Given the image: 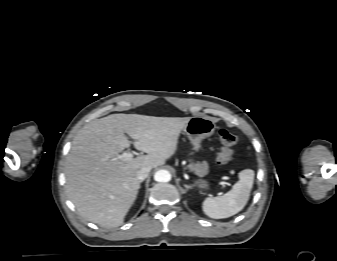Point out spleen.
<instances>
[{
  "mask_svg": "<svg viewBox=\"0 0 337 261\" xmlns=\"http://www.w3.org/2000/svg\"><path fill=\"white\" fill-rule=\"evenodd\" d=\"M239 181L222 196L208 197L203 201L204 213L214 219H222L240 212L247 204L254 182V171L245 169L239 172Z\"/></svg>",
  "mask_w": 337,
  "mask_h": 261,
  "instance_id": "obj_1",
  "label": "spleen"
}]
</instances>
